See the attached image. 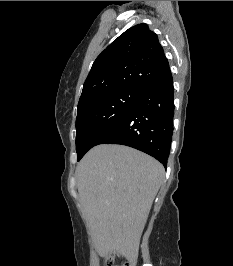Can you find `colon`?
<instances>
[{
    "label": "colon",
    "mask_w": 233,
    "mask_h": 266,
    "mask_svg": "<svg viewBox=\"0 0 233 266\" xmlns=\"http://www.w3.org/2000/svg\"><path fill=\"white\" fill-rule=\"evenodd\" d=\"M104 264H105V266H115L113 257H111V256L105 257L104 258ZM121 266H134V261L128 260V261L124 262Z\"/></svg>",
    "instance_id": "obj_1"
}]
</instances>
